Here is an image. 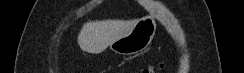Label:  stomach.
<instances>
[{
	"label": "stomach",
	"instance_id": "1",
	"mask_svg": "<svg viewBox=\"0 0 244 73\" xmlns=\"http://www.w3.org/2000/svg\"><path fill=\"white\" fill-rule=\"evenodd\" d=\"M156 21L152 15L139 19L134 28L123 37L113 41L110 49L120 55H134L145 50L154 38Z\"/></svg>",
	"mask_w": 244,
	"mask_h": 73
}]
</instances>
